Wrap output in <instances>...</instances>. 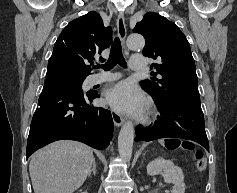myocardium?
<instances>
[{"label": "myocardium", "instance_id": "obj_1", "mask_svg": "<svg viewBox=\"0 0 237 193\" xmlns=\"http://www.w3.org/2000/svg\"><path fill=\"white\" fill-rule=\"evenodd\" d=\"M154 113V110L151 108L150 110H149V114H153Z\"/></svg>", "mask_w": 237, "mask_h": 193}]
</instances>
